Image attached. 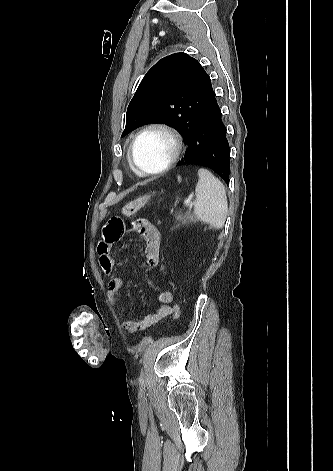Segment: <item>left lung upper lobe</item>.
<instances>
[{
	"mask_svg": "<svg viewBox=\"0 0 333 471\" xmlns=\"http://www.w3.org/2000/svg\"><path fill=\"white\" fill-rule=\"evenodd\" d=\"M212 90L209 75L186 53L159 60L129 103L121 137L145 124L165 122L179 130L187 142Z\"/></svg>",
	"mask_w": 333,
	"mask_h": 471,
	"instance_id": "left-lung-upper-lobe-1",
	"label": "left lung upper lobe"
}]
</instances>
